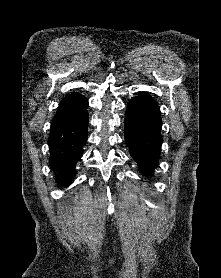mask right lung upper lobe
<instances>
[{
    "label": "right lung upper lobe",
    "mask_w": 221,
    "mask_h": 278,
    "mask_svg": "<svg viewBox=\"0 0 221 278\" xmlns=\"http://www.w3.org/2000/svg\"><path fill=\"white\" fill-rule=\"evenodd\" d=\"M88 107V100L78 93H73L62 99L54 116L51 129L56 128L77 117Z\"/></svg>",
    "instance_id": "right-lung-upper-lobe-1"
}]
</instances>
